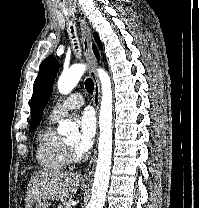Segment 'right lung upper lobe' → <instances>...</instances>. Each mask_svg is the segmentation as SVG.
Instances as JSON below:
<instances>
[{"mask_svg": "<svg viewBox=\"0 0 199 208\" xmlns=\"http://www.w3.org/2000/svg\"><path fill=\"white\" fill-rule=\"evenodd\" d=\"M93 51H94L96 57L99 59V53H98L97 48L95 46H93Z\"/></svg>", "mask_w": 199, "mask_h": 208, "instance_id": "1", "label": "right lung upper lobe"}]
</instances>
